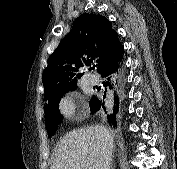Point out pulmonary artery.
Segmentation results:
<instances>
[{
	"label": "pulmonary artery",
	"instance_id": "1",
	"mask_svg": "<svg viewBox=\"0 0 177 169\" xmlns=\"http://www.w3.org/2000/svg\"><path fill=\"white\" fill-rule=\"evenodd\" d=\"M89 82L92 84V85H96L99 83V77L96 76V75H90L89 76Z\"/></svg>",
	"mask_w": 177,
	"mask_h": 169
}]
</instances>
